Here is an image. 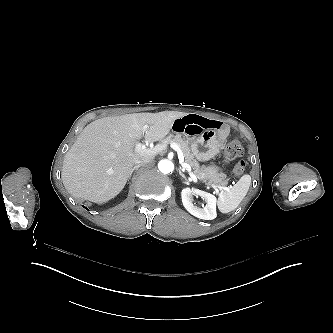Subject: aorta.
I'll return each mask as SVG.
<instances>
[{
	"label": "aorta",
	"instance_id": "762f6f07",
	"mask_svg": "<svg viewBox=\"0 0 333 333\" xmlns=\"http://www.w3.org/2000/svg\"><path fill=\"white\" fill-rule=\"evenodd\" d=\"M158 168L163 174H168L174 170V164L168 159H163L159 161Z\"/></svg>",
	"mask_w": 333,
	"mask_h": 333
}]
</instances>
